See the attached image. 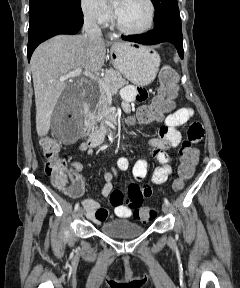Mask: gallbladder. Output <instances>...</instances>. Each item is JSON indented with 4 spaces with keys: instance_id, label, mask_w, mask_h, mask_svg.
<instances>
[{
    "instance_id": "obj_1",
    "label": "gallbladder",
    "mask_w": 240,
    "mask_h": 288,
    "mask_svg": "<svg viewBox=\"0 0 240 288\" xmlns=\"http://www.w3.org/2000/svg\"><path fill=\"white\" fill-rule=\"evenodd\" d=\"M81 109V104L76 92L71 91L68 86L60 95L52 112L51 122L64 119L68 114H75Z\"/></svg>"
}]
</instances>
